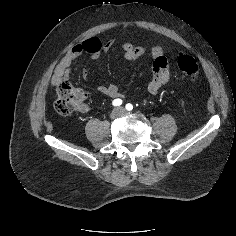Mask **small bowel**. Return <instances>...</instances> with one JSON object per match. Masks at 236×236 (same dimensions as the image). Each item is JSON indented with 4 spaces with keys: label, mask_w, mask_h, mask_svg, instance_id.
Here are the masks:
<instances>
[{
    "label": "small bowel",
    "mask_w": 236,
    "mask_h": 236,
    "mask_svg": "<svg viewBox=\"0 0 236 236\" xmlns=\"http://www.w3.org/2000/svg\"><path fill=\"white\" fill-rule=\"evenodd\" d=\"M112 45V40L102 42L97 37H90L83 42L74 45L56 66L51 78V84L58 87L60 84L66 83L72 64L84 54H89L92 59L96 60L102 55V53L107 52ZM149 50L153 60V77L147 85V90L150 94L155 95L168 83L170 79L169 60L160 46L154 45L150 47ZM146 51L147 47L142 45L125 43L122 46L123 56L129 61L138 59ZM82 76L84 79H88V71L84 70ZM97 90L113 99H119L122 97V93L114 83L98 85ZM88 110L89 108L87 105L81 107L82 112H87Z\"/></svg>",
    "instance_id": "small-bowel-1"
}]
</instances>
